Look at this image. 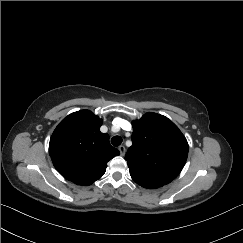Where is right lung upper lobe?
Returning a JSON list of instances; mask_svg holds the SVG:
<instances>
[{"label":"right lung upper lobe","mask_w":243,"mask_h":243,"mask_svg":"<svg viewBox=\"0 0 243 243\" xmlns=\"http://www.w3.org/2000/svg\"><path fill=\"white\" fill-rule=\"evenodd\" d=\"M102 119L89 110L65 117L54 130L49 154L57 171L78 185H91L106 171L107 162L120 154L101 133Z\"/></svg>","instance_id":"1"}]
</instances>
